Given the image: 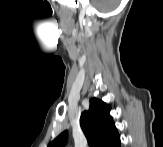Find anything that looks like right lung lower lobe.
I'll return each mask as SVG.
<instances>
[{
	"label": "right lung lower lobe",
	"mask_w": 163,
	"mask_h": 147,
	"mask_svg": "<svg viewBox=\"0 0 163 147\" xmlns=\"http://www.w3.org/2000/svg\"><path fill=\"white\" fill-rule=\"evenodd\" d=\"M121 142H120V136L110 145V147H120Z\"/></svg>",
	"instance_id": "right-lung-lower-lobe-1"
}]
</instances>
